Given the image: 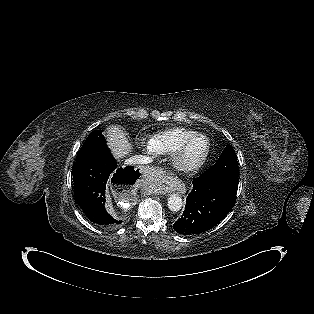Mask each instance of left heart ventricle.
I'll return each instance as SVG.
<instances>
[{
    "mask_svg": "<svg viewBox=\"0 0 314 314\" xmlns=\"http://www.w3.org/2000/svg\"><path fill=\"white\" fill-rule=\"evenodd\" d=\"M204 149V142L202 140H197L194 142L190 148V155L197 156L199 155Z\"/></svg>",
    "mask_w": 314,
    "mask_h": 314,
    "instance_id": "b2bd125f",
    "label": "left heart ventricle"
}]
</instances>
